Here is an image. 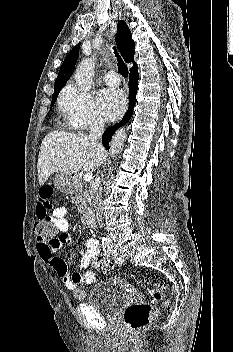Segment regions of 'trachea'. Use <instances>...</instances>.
Instances as JSON below:
<instances>
[{
	"label": "trachea",
	"instance_id": "trachea-1",
	"mask_svg": "<svg viewBox=\"0 0 233 352\" xmlns=\"http://www.w3.org/2000/svg\"><path fill=\"white\" fill-rule=\"evenodd\" d=\"M114 53L117 58V66H118V70H119L120 74L123 77H127L128 76V68H127L126 64L124 63V61L122 60V58L120 57V55L118 54V52L115 50V47H114Z\"/></svg>",
	"mask_w": 233,
	"mask_h": 352
}]
</instances>
